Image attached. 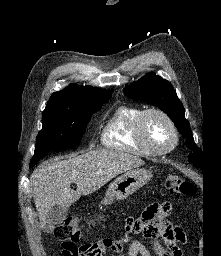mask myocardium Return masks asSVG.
Instances as JSON below:
<instances>
[{"label": "myocardium", "instance_id": "1", "mask_svg": "<svg viewBox=\"0 0 221 256\" xmlns=\"http://www.w3.org/2000/svg\"><path fill=\"white\" fill-rule=\"evenodd\" d=\"M156 114L162 117L170 126L173 133V142L170 146L164 149H158L150 144L144 133L145 120L149 115ZM135 137L137 141L155 155H164L175 149L179 142V132L173 119L163 110L159 108H148L143 110L137 118L135 126Z\"/></svg>", "mask_w": 221, "mask_h": 256}]
</instances>
